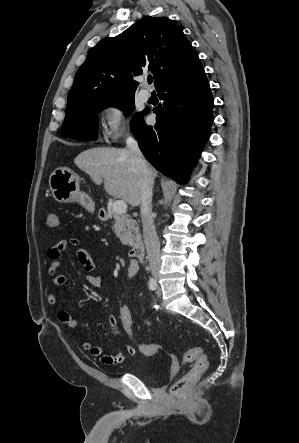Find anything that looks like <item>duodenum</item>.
I'll list each match as a JSON object with an SVG mask.
<instances>
[{"label": "duodenum", "mask_w": 299, "mask_h": 443, "mask_svg": "<svg viewBox=\"0 0 299 443\" xmlns=\"http://www.w3.org/2000/svg\"><path fill=\"white\" fill-rule=\"evenodd\" d=\"M129 255L135 263L142 261L144 258V244L141 240H136L130 244Z\"/></svg>", "instance_id": "duodenum-1"}]
</instances>
